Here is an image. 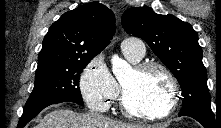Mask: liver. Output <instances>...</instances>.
<instances>
[{
    "label": "liver",
    "mask_w": 221,
    "mask_h": 128,
    "mask_svg": "<svg viewBox=\"0 0 221 128\" xmlns=\"http://www.w3.org/2000/svg\"><path fill=\"white\" fill-rule=\"evenodd\" d=\"M35 128H167V124L121 123L95 112L77 113L69 109H57L41 119Z\"/></svg>",
    "instance_id": "liver-1"
}]
</instances>
